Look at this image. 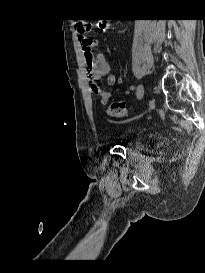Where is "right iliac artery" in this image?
I'll return each instance as SVG.
<instances>
[{"instance_id": "82829eb1", "label": "right iliac artery", "mask_w": 205, "mask_h": 273, "mask_svg": "<svg viewBox=\"0 0 205 273\" xmlns=\"http://www.w3.org/2000/svg\"><path fill=\"white\" fill-rule=\"evenodd\" d=\"M131 90H134L135 89V87L134 86H131V88H130Z\"/></svg>"}]
</instances>
